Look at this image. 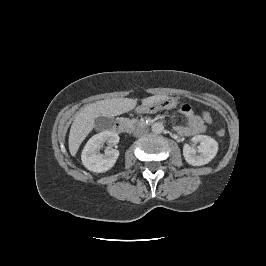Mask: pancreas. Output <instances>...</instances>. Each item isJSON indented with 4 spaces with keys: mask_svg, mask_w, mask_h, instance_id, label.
<instances>
[{
    "mask_svg": "<svg viewBox=\"0 0 266 266\" xmlns=\"http://www.w3.org/2000/svg\"><path fill=\"white\" fill-rule=\"evenodd\" d=\"M133 123H137V120H132Z\"/></svg>",
    "mask_w": 266,
    "mask_h": 266,
    "instance_id": "pancreas-1",
    "label": "pancreas"
}]
</instances>
